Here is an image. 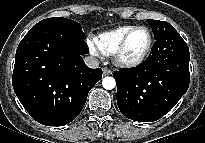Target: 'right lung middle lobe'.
<instances>
[{
	"label": "right lung middle lobe",
	"mask_w": 205,
	"mask_h": 143,
	"mask_svg": "<svg viewBox=\"0 0 205 143\" xmlns=\"http://www.w3.org/2000/svg\"><path fill=\"white\" fill-rule=\"evenodd\" d=\"M46 24L57 26L59 28H62L72 33L73 35L79 38L85 39V34L82 31L81 25L76 21L67 18H62V17H54V18L41 20L36 25H46Z\"/></svg>",
	"instance_id": "dd1d6c3e"
}]
</instances>
